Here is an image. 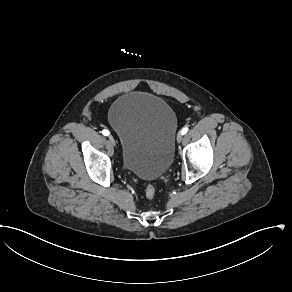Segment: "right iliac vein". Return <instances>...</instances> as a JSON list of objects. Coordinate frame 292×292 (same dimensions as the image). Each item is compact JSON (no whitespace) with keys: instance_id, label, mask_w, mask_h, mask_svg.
<instances>
[{"instance_id":"right-iliac-vein-1","label":"right iliac vein","mask_w":292,"mask_h":292,"mask_svg":"<svg viewBox=\"0 0 292 292\" xmlns=\"http://www.w3.org/2000/svg\"><path fill=\"white\" fill-rule=\"evenodd\" d=\"M109 141H110L111 145H113V146L115 145V140L112 136H109Z\"/></svg>"}]
</instances>
